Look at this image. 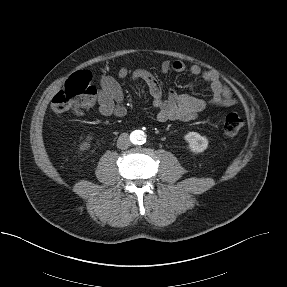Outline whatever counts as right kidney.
Returning <instances> with one entry per match:
<instances>
[{"instance_id": "ca27d5eb", "label": "right kidney", "mask_w": 287, "mask_h": 287, "mask_svg": "<svg viewBox=\"0 0 287 287\" xmlns=\"http://www.w3.org/2000/svg\"><path fill=\"white\" fill-rule=\"evenodd\" d=\"M90 139L88 138L87 141H84L81 145H80V149L81 150H86L90 147L89 141Z\"/></svg>"}]
</instances>
